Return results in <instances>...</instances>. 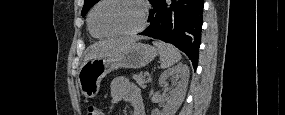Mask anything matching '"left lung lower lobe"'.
<instances>
[{"mask_svg":"<svg viewBox=\"0 0 285 115\" xmlns=\"http://www.w3.org/2000/svg\"><path fill=\"white\" fill-rule=\"evenodd\" d=\"M150 25L141 33L171 43L197 68L203 22L202 0H149Z\"/></svg>","mask_w":285,"mask_h":115,"instance_id":"1","label":"left lung lower lobe"}]
</instances>
